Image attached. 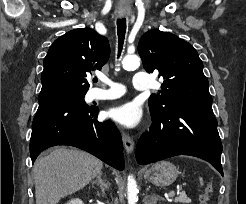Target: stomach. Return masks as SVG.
Returning a JSON list of instances; mask_svg holds the SVG:
<instances>
[{
	"label": "stomach",
	"mask_w": 246,
	"mask_h": 204,
	"mask_svg": "<svg viewBox=\"0 0 246 204\" xmlns=\"http://www.w3.org/2000/svg\"><path fill=\"white\" fill-rule=\"evenodd\" d=\"M179 171L168 161L153 164L145 171L144 178L152 184L163 187L171 185L177 178Z\"/></svg>",
	"instance_id": "1"
}]
</instances>
